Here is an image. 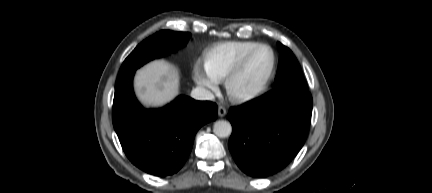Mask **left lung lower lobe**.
Here are the masks:
<instances>
[{"label": "left lung lower lobe", "mask_w": 432, "mask_h": 193, "mask_svg": "<svg viewBox=\"0 0 432 193\" xmlns=\"http://www.w3.org/2000/svg\"><path fill=\"white\" fill-rule=\"evenodd\" d=\"M311 114L312 97L304 90H273L232 107L228 146L239 168L253 177L283 169L302 148Z\"/></svg>", "instance_id": "left-lung-lower-lobe-1"}]
</instances>
